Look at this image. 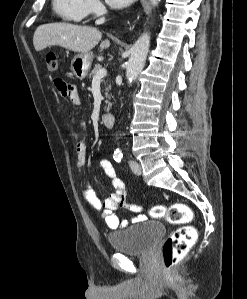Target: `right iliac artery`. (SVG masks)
I'll return each instance as SVG.
<instances>
[{
    "label": "right iliac artery",
    "instance_id": "right-iliac-artery-1",
    "mask_svg": "<svg viewBox=\"0 0 247 299\" xmlns=\"http://www.w3.org/2000/svg\"><path fill=\"white\" fill-rule=\"evenodd\" d=\"M122 153H114L113 158L115 159V161L120 162L122 159Z\"/></svg>",
    "mask_w": 247,
    "mask_h": 299
}]
</instances>
